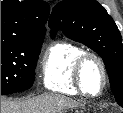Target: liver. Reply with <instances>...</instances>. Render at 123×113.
I'll return each mask as SVG.
<instances>
[{"label": "liver", "mask_w": 123, "mask_h": 113, "mask_svg": "<svg viewBox=\"0 0 123 113\" xmlns=\"http://www.w3.org/2000/svg\"><path fill=\"white\" fill-rule=\"evenodd\" d=\"M73 105V101L60 95H41L18 100L1 98V113H58Z\"/></svg>", "instance_id": "6515ba94"}]
</instances>
